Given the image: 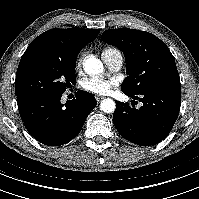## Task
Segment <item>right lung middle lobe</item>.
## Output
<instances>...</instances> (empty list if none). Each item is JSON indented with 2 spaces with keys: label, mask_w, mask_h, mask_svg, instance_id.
Segmentation results:
<instances>
[{
  "label": "right lung middle lobe",
  "mask_w": 199,
  "mask_h": 199,
  "mask_svg": "<svg viewBox=\"0 0 199 199\" xmlns=\"http://www.w3.org/2000/svg\"><path fill=\"white\" fill-rule=\"evenodd\" d=\"M76 58H63L41 49L26 50L16 74V96L45 93L62 94L76 83Z\"/></svg>",
  "instance_id": "1"
}]
</instances>
